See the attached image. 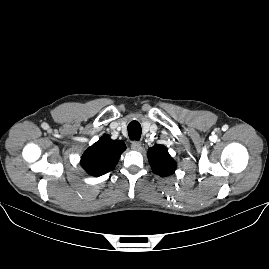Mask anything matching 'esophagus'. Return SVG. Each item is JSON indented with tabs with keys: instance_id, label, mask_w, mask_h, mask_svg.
Listing matches in <instances>:
<instances>
[{
	"instance_id": "esophagus-1",
	"label": "esophagus",
	"mask_w": 269,
	"mask_h": 269,
	"mask_svg": "<svg viewBox=\"0 0 269 269\" xmlns=\"http://www.w3.org/2000/svg\"><path fill=\"white\" fill-rule=\"evenodd\" d=\"M141 142L140 141H133L131 144V149L134 151L140 150Z\"/></svg>"
}]
</instances>
